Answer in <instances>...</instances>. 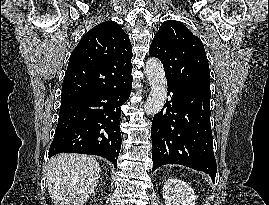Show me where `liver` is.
<instances>
[{
  "label": "liver",
  "instance_id": "obj_1",
  "mask_svg": "<svg viewBox=\"0 0 269 205\" xmlns=\"http://www.w3.org/2000/svg\"><path fill=\"white\" fill-rule=\"evenodd\" d=\"M101 168L95 158L61 153L52 157L46 179L54 205H83L99 182Z\"/></svg>",
  "mask_w": 269,
  "mask_h": 205
}]
</instances>
